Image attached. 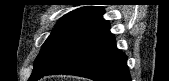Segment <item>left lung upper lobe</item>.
<instances>
[{
    "instance_id": "left-lung-upper-lobe-1",
    "label": "left lung upper lobe",
    "mask_w": 169,
    "mask_h": 81,
    "mask_svg": "<svg viewBox=\"0 0 169 81\" xmlns=\"http://www.w3.org/2000/svg\"><path fill=\"white\" fill-rule=\"evenodd\" d=\"M103 13V8L89 6L76 9L64 15L43 44L34 62L33 72L29 81L49 71L73 38L84 28L99 19Z\"/></svg>"
}]
</instances>
